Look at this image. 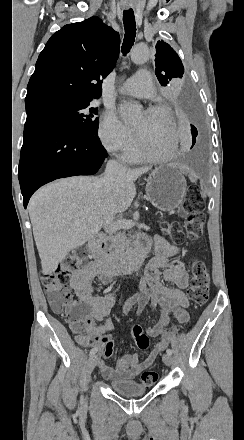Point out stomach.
<instances>
[{
	"label": "stomach",
	"mask_w": 244,
	"mask_h": 440,
	"mask_svg": "<svg viewBox=\"0 0 244 440\" xmlns=\"http://www.w3.org/2000/svg\"><path fill=\"white\" fill-rule=\"evenodd\" d=\"M187 182L174 164H165L150 172L145 192L152 206L162 212H172L183 204Z\"/></svg>",
	"instance_id": "obj_1"
}]
</instances>
